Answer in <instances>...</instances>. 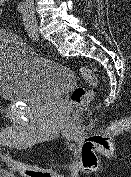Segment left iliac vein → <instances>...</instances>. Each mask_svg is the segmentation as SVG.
I'll list each match as a JSON object with an SVG mask.
<instances>
[{
    "label": "left iliac vein",
    "mask_w": 131,
    "mask_h": 177,
    "mask_svg": "<svg viewBox=\"0 0 131 177\" xmlns=\"http://www.w3.org/2000/svg\"><path fill=\"white\" fill-rule=\"evenodd\" d=\"M31 22H32V24H33V26H34V29H35V31H36V35H37L36 40H38V37H39V36H38V33H37V31H38L37 21H36L35 18H32Z\"/></svg>",
    "instance_id": "left-iliac-vein-1"
}]
</instances>
